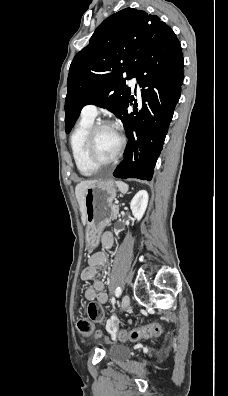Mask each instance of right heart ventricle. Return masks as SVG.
<instances>
[{"label":"right heart ventricle","mask_w":228,"mask_h":396,"mask_svg":"<svg viewBox=\"0 0 228 396\" xmlns=\"http://www.w3.org/2000/svg\"><path fill=\"white\" fill-rule=\"evenodd\" d=\"M93 124L94 118L82 116L70 138L74 161L79 171L84 175H92L97 171L88 163L84 152L85 141Z\"/></svg>","instance_id":"right-heart-ventricle-1"}]
</instances>
